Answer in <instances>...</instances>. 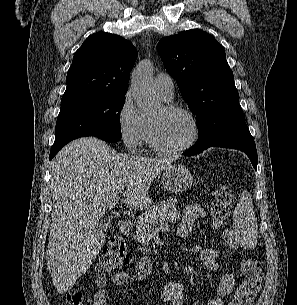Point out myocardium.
Segmentation results:
<instances>
[{
	"label": "myocardium",
	"instance_id": "1",
	"mask_svg": "<svg viewBox=\"0 0 297 305\" xmlns=\"http://www.w3.org/2000/svg\"><path fill=\"white\" fill-rule=\"evenodd\" d=\"M165 111L169 113H180L185 115L192 124V136L191 138L183 145L175 147V148H167L160 144V142L157 139L156 131L153 123L149 122V144L150 146L158 153L162 155H176L183 153L187 150H189L198 140L199 134H200V128H199V122L196 116L192 111L189 109L182 107L180 105L175 104H168L164 107Z\"/></svg>",
	"mask_w": 297,
	"mask_h": 305
}]
</instances>
